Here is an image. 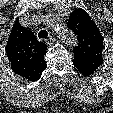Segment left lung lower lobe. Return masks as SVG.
I'll return each mask as SVG.
<instances>
[{
  "label": "left lung lower lobe",
  "instance_id": "0a47b994",
  "mask_svg": "<svg viewBox=\"0 0 113 113\" xmlns=\"http://www.w3.org/2000/svg\"><path fill=\"white\" fill-rule=\"evenodd\" d=\"M78 70L80 71V73H82L83 75H86V76H89V75L92 74V73L87 72V71H85V70H83V69H78Z\"/></svg>",
  "mask_w": 113,
  "mask_h": 113
}]
</instances>
